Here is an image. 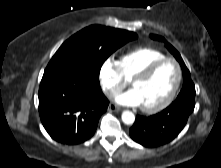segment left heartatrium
Segmentation results:
<instances>
[{"mask_svg":"<svg viewBox=\"0 0 221 168\" xmlns=\"http://www.w3.org/2000/svg\"><path fill=\"white\" fill-rule=\"evenodd\" d=\"M115 101L125 106H140L141 99L135 89L119 94L115 97Z\"/></svg>","mask_w":221,"mask_h":168,"instance_id":"left-heart-atrium-1","label":"left heart atrium"}]
</instances>
